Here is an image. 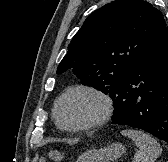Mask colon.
Returning a JSON list of instances; mask_svg holds the SVG:
<instances>
[{
    "label": "colon",
    "instance_id": "5ec220e1",
    "mask_svg": "<svg viewBox=\"0 0 168 162\" xmlns=\"http://www.w3.org/2000/svg\"><path fill=\"white\" fill-rule=\"evenodd\" d=\"M62 159L63 156L60 152L48 151L39 158L38 162H50V161L59 162Z\"/></svg>",
    "mask_w": 168,
    "mask_h": 162
}]
</instances>
